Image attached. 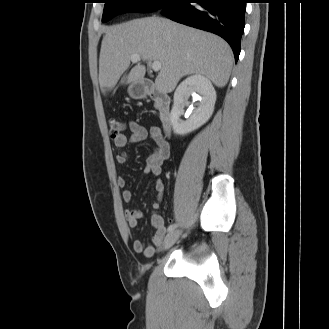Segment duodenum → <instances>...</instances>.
<instances>
[{"label":"duodenum","mask_w":329,"mask_h":329,"mask_svg":"<svg viewBox=\"0 0 329 329\" xmlns=\"http://www.w3.org/2000/svg\"><path fill=\"white\" fill-rule=\"evenodd\" d=\"M142 93L149 96L155 101V108L160 121L168 131L170 121V97L158 89L152 80L146 79L141 84Z\"/></svg>","instance_id":"1"}]
</instances>
